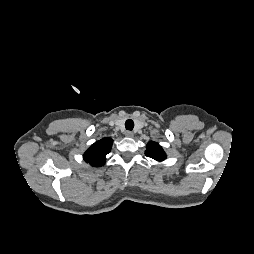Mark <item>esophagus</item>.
Listing matches in <instances>:
<instances>
[{"mask_svg": "<svg viewBox=\"0 0 254 254\" xmlns=\"http://www.w3.org/2000/svg\"><path fill=\"white\" fill-rule=\"evenodd\" d=\"M125 135H126L127 137H130V138H131V137H133L134 134H133V132H131V131H126V132H125Z\"/></svg>", "mask_w": 254, "mask_h": 254, "instance_id": "obj_1", "label": "esophagus"}]
</instances>
